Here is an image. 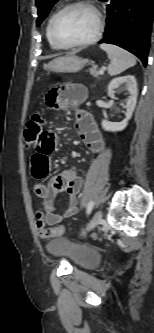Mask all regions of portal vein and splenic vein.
Here are the masks:
<instances>
[{"label":"portal vein and splenic vein","mask_w":154,"mask_h":333,"mask_svg":"<svg viewBox=\"0 0 154 333\" xmlns=\"http://www.w3.org/2000/svg\"><path fill=\"white\" fill-rule=\"evenodd\" d=\"M104 70H105V68L103 67V68H101L100 70H99V73L100 74H103L104 73Z\"/></svg>","instance_id":"1"}]
</instances>
